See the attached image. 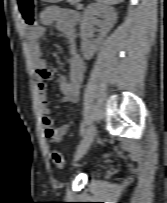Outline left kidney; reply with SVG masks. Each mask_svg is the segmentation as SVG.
<instances>
[{"instance_id": "left-kidney-1", "label": "left kidney", "mask_w": 167, "mask_h": 203, "mask_svg": "<svg viewBox=\"0 0 167 203\" xmlns=\"http://www.w3.org/2000/svg\"><path fill=\"white\" fill-rule=\"evenodd\" d=\"M96 17L104 20L97 22ZM117 19V15L112 8L105 7L101 3H94L87 7L84 11L83 19L80 27V36L82 39L81 50L86 60H90L98 51L103 38L113 27ZM94 23L100 27V37L96 41L89 40V31Z\"/></svg>"}]
</instances>
